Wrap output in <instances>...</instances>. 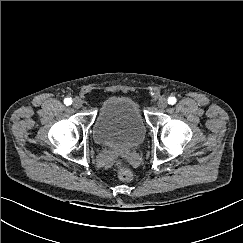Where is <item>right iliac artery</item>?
<instances>
[{
  "label": "right iliac artery",
  "mask_w": 243,
  "mask_h": 243,
  "mask_svg": "<svg viewBox=\"0 0 243 243\" xmlns=\"http://www.w3.org/2000/svg\"><path fill=\"white\" fill-rule=\"evenodd\" d=\"M64 103L69 106L72 104V99L71 98H65Z\"/></svg>",
  "instance_id": "82829eb1"
}]
</instances>
